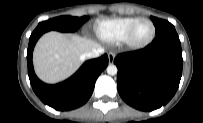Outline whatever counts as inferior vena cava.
Masks as SVG:
<instances>
[{"label":"inferior vena cava","mask_w":203,"mask_h":123,"mask_svg":"<svg viewBox=\"0 0 203 123\" xmlns=\"http://www.w3.org/2000/svg\"><path fill=\"white\" fill-rule=\"evenodd\" d=\"M103 53H104V48L99 46V47L93 48L91 51L87 52L85 57H87V58H97Z\"/></svg>","instance_id":"obj_1"}]
</instances>
